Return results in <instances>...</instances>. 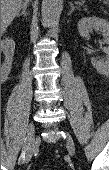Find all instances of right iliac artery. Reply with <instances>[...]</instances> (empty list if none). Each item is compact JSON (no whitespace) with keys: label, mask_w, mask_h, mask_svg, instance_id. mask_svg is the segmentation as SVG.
I'll return each mask as SVG.
<instances>
[{"label":"right iliac artery","mask_w":109,"mask_h":170,"mask_svg":"<svg viewBox=\"0 0 109 170\" xmlns=\"http://www.w3.org/2000/svg\"><path fill=\"white\" fill-rule=\"evenodd\" d=\"M26 149H27V144H26V141H25L23 148H22V153H21V155L18 159V164H22L24 162Z\"/></svg>","instance_id":"1"}]
</instances>
